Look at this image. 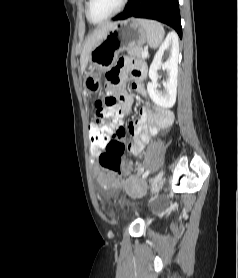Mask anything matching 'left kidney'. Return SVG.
Segmentation results:
<instances>
[{
  "instance_id": "obj_1",
  "label": "left kidney",
  "mask_w": 238,
  "mask_h": 278,
  "mask_svg": "<svg viewBox=\"0 0 238 278\" xmlns=\"http://www.w3.org/2000/svg\"><path fill=\"white\" fill-rule=\"evenodd\" d=\"M164 54L168 56V59L166 62L162 63ZM178 55V38L174 33H169L164 43L159 47L156 54L154 55V59L150 65L149 78L151 82L147 84V91L152 101L162 108H171L176 101ZM159 68H162L168 74V79L163 83L165 87V91L163 93L157 89V71Z\"/></svg>"
}]
</instances>
